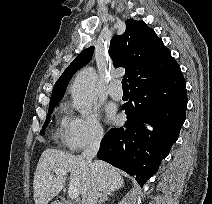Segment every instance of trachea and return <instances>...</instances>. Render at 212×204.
I'll return each instance as SVG.
<instances>
[{"label":"trachea","instance_id":"1","mask_svg":"<svg viewBox=\"0 0 212 204\" xmlns=\"http://www.w3.org/2000/svg\"><path fill=\"white\" fill-rule=\"evenodd\" d=\"M122 88H123V90H128V84H127V79L126 78H124L122 80Z\"/></svg>","mask_w":212,"mask_h":204}]
</instances>
